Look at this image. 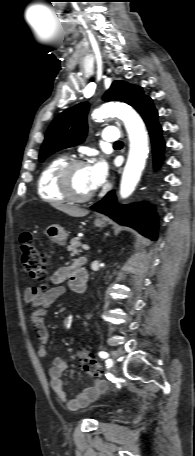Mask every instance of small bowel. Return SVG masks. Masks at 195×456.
<instances>
[{
  "label": "small bowel",
  "instance_id": "obj_1",
  "mask_svg": "<svg viewBox=\"0 0 195 456\" xmlns=\"http://www.w3.org/2000/svg\"><path fill=\"white\" fill-rule=\"evenodd\" d=\"M75 268V266H68L57 269L51 277L54 286L48 290L35 287H28L24 290V301L36 309L31 318L35 334L41 342L38 348V355L40 357H45L48 354V330L44 322L46 308L65 294V288L61 283L65 280H70L71 284V278ZM67 367L68 364L63 358L57 357L53 360L51 367L48 369L50 386L60 401L65 403L70 410H76L94 400L105 389V382L103 380H96L75 398L69 399L61 380V376Z\"/></svg>",
  "mask_w": 195,
  "mask_h": 456
}]
</instances>
